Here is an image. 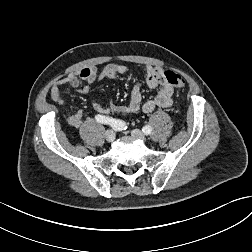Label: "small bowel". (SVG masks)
<instances>
[{"instance_id": "small-bowel-1", "label": "small bowel", "mask_w": 252, "mask_h": 252, "mask_svg": "<svg viewBox=\"0 0 252 252\" xmlns=\"http://www.w3.org/2000/svg\"><path fill=\"white\" fill-rule=\"evenodd\" d=\"M128 73V68L122 64H108L101 72L95 67L83 68L75 73L69 74L67 77L56 82L50 90V98L52 101L64 105L65 101L61 94V89L64 85H69L75 91L88 97L92 108L99 113L98 115L110 114L105 106H102L100 101L91 94L92 85L103 79H115ZM164 71L157 66L147 65L144 68L146 84L151 89H157V94L144 102H142L141 85L135 83L129 102L137 103L139 109L145 113H150L156 108H168L173 104V87L165 80ZM68 124L74 127H79L83 123V111L79 110L76 113L67 116Z\"/></svg>"}]
</instances>
